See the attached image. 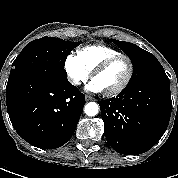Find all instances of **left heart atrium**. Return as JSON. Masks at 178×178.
I'll return each instance as SVG.
<instances>
[{
    "label": "left heart atrium",
    "instance_id": "obj_1",
    "mask_svg": "<svg viewBox=\"0 0 178 178\" xmlns=\"http://www.w3.org/2000/svg\"><path fill=\"white\" fill-rule=\"evenodd\" d=\"M86 89L94 93L102 91V88L94 80L86 87Z\"/></svg>",
    "mask_w": 178,
    "mask_h": 178
}]
</instances>
